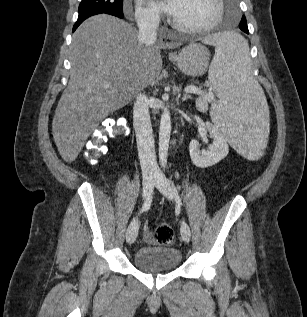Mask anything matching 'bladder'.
I'll list each match as a JSON object with an SVG mask.
<instances>
[{
	"instance_id": "1",
	"label": "bladder",
	"mask_w": 307,
	"mask_h": 317,
	"mask_svg": "<svg viewBox=\"0 0 307 317\" xmlns=\"http://www.w3.org/2000/svg\"><path fill=\"white\" fill-rule=\"evenodd\" d=\"M133 261L138 269L158 274L176 269L181 262V255L172 247H143L136 251Z\"/></svg>"
}]
</instances>
